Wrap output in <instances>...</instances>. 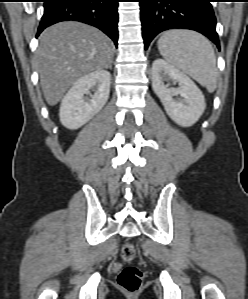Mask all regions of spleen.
Here are the masks:
<instances>
[{"instance_id": "1", "label": "spleen", "mask_w": 248, "mask_h": 299, "mask_svg": "<svg viewBox=\"0 0 248 299\" xmlns=\"http://www.w3.org/2000/svg\"><path fill=\"white\" fill-rule=\"evenodd\" d=\"M162 57L191 76L212 93L216 89L218 69L214 49L203 35L190 30L165 31L157 42Z\"/></svg>"}]
</instances>
